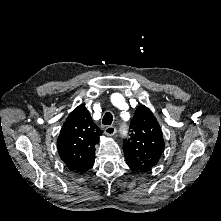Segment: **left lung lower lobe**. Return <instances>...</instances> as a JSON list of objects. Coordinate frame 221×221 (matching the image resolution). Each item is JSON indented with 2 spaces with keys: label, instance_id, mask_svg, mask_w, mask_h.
I'll use <instances>...</instances> for the list:
<instances>
[{
  "label": "left lung lower lobe",
  "instance_id": "1",
  "mask_svg": "<svg viewBox=\"0 0 221 221\" xmlns=\"http://www.w3.org/2000/svg\"><path fill=\"white\" fill-rule=\"evenodd\" d=\"M126 162H127V165H128L132 170H134V171H139V169L137 168V165H136L134 162H132V161H130V160H128V159H126Z\"/></svg>",
  "mask_w": 221,
  "mask_h": 221
}]
</instances>
